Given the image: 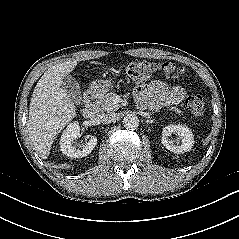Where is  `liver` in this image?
Instances as JSON below:
<instances>
[{"label":"liver","mask_w":239,"mask_h":239,"mask_svg":"<svg viewBox=\"0 0 239 239\" xmlns=\"http://www.w3.org/2000/svg\"><path fill=\"white\" fill-rule=\"evenodd\" d=\"M76 66V60H67L48 68L34 88L27 127L43 159L49 156L56 136L76 116L75 105L62 88L63 78Z\"/></svg>","instance_id":"liver-1"}]
</instances>
